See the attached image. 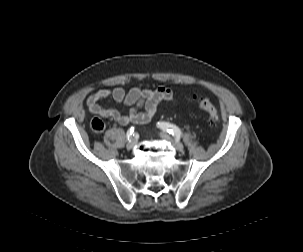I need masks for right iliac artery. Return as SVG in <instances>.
Returning <instances> with one entry per match:
<instances>
[{
	"label": "right iliac artery",
	"mask_w": 303,
	"mask_h": 252,
	"mask_svg": "<svg viewBox=\"0 0 303 252\" xmlns=\"http://www.w3.org/2000/svg\"><path fill=\"white\" fill-rule=\"evenodd\" d=\"M133 132H134V127L132 126V127H130V128L128 129V131H127V140H128V141L131 140V136H132Z\"/></svg>",
	"instance_id": "right-iliac-artery-1"
}]
</instances>
